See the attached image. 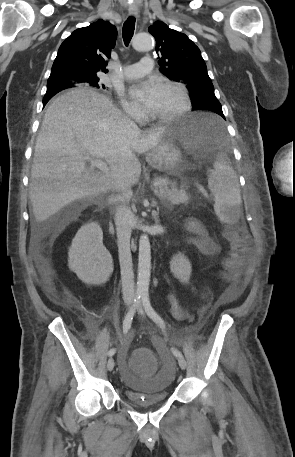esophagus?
<instances>
[{
  "label": "esophagus",
  "mask_w": 295,
  "mask_h": 457,
  "mask_svg": "<svg viewBox=\"0 0 295 457\" xmlns=\"http://www.w3.org/2000/svg\"><path fill=\"white\" fill-rule=\"evenodd\" d=\"M128 11L131 16L138 17L139 10H138L137 6H130Z\"/></svg>",
  "instance_id": "obj_1"
}]
</instances>
